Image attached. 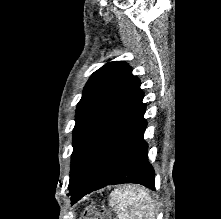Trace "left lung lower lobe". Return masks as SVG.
Here are the masks:
<instances>
[{
	"label": "left lung lower lobe",
	"instance_id": "0a47b994",
	"mask_svg": "<svg viewBox=\"0 0 221 219\" xmlns=\"http://www.w3.org/2000/svg\"><path fill=\"white\" fill-rule=\"evenodd\" d=\"M143 93L97 144L70 192L72 203L107 185L138 183L155 187L154 169L143 139L146 120Z\"/></svg>",
	"mask_w": 221,
	"mask_h": 219
}]
</instances>
